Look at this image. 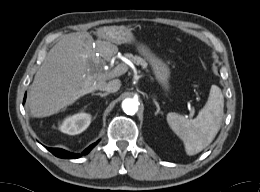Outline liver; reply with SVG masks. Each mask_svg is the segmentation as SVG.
Instances as JSON below:
<instances>
[{"mask_svg": "<svg viewBox=\"0 0 260 192\" xmlns=\"http://www.w3.org/2000/svg\"><path fill=\"white\" fill-rule=\"evenodd\" d=\"M100 28L96 48L89 34L68 35L47 53L30 86L28 105L34 117H47L72 104L80 97L100 90L109 79L103 72V61L117 52L110 42L111 29ZM101 38L107 41H102Z\"/></svg>", "mask_w": 260, "mask_h": 192, "instance_id": "6515ba94", "label": "liver"}]
</instances>
